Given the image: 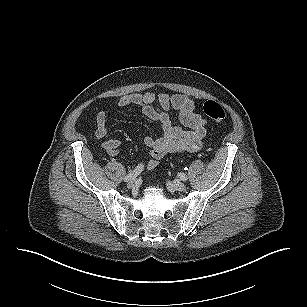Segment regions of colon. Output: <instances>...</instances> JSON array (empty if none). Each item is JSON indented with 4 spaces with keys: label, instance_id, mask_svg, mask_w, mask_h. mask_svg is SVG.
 I'll return each instance as SVG.
<instances>
[{
    "label": "colon",
    "instance_id": "obj_1",
    "mask_svg": "<svg viewBox=\"0 0 307 307\" xmlns=\"http://www.w3.org/2000/svg\"><path fill=\"white\" fill-rule=\"evenodd\" d=\"M203 111L210 119L216 122H220L226 117L223 107L213 100H208L204 103Z\"/></svg>",
    "mask_w": 307,
    "mask_h": 307
}]
</instances>
